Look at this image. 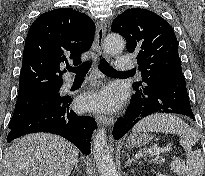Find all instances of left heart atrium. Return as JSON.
Masks as SVG:
<instances>
[{"instance_id": "1", "label": "left heart atrium", "mask_w": 205, "mask_h": 176, "mask_svg": "<svg viewBox=\"0 0 205 176\" xmlns=\"http://www.w3.org/2000/svg\"><path fill=\"white\" fill-rule=\"evenodd\" d=\"M121 100V94L116 89H108L99 93L84 95L79 100V105L88 110L108 109L116 106Z\"/></svg>"}]
</instances>
